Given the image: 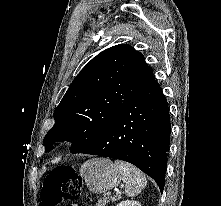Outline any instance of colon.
Returning <instances> with one entry per match:
<instances>
[{
    "label": "colon",
    "mask_w": 221,
    "mask_h": 206,
    "mask_svg": "<svg viewBox=\"0 0 221 206\" xmlns=\"http://www.w3.org/2000/svg\"><path fill=\"white\" fill-rule=\"evenodd\" d=\"M81 186V177L73 167L58 166L45 180L41 206H57L67 200L76 199L80 195Z\"/></svg>",
    "instance_id": "obj_1"
}]
</instances>
